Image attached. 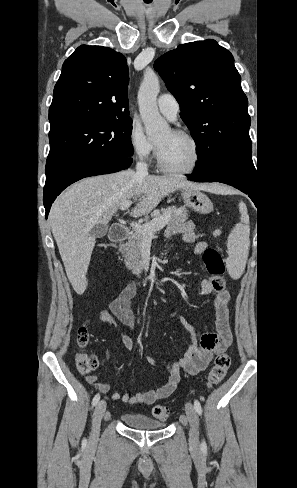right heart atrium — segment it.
<instances>
[{"mask_svg":"<svg viewBox=\"0 0 297 488\" xmlns=\"http://www.w3.org/2000/svg\"><path fill=\"white\" fill-rule=\"evenodd\" d=\"M128 141L134 155L141 160H149L156 151L155 143L145 134L139 120L135 119L132 121Z\"/></svg>","mask_w":297,"mask_h":488,"instance_id":"obj_1","label":"right heart atrium"}]
</instances>
